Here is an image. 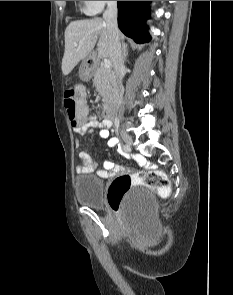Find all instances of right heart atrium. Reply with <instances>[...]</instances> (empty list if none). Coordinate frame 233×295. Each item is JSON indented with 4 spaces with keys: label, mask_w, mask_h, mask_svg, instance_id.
I'll return each mask as SVG.
<instances>
[{
    "label": "right heart atrium",
    "mask_w": 233,
    "mask_h": 295,
    "mask_svg": "<svg viewBox=\"0 0 233 295\" xmlns=\"http://www.w3.org/2000/svg\"><path fill=\"white\" fill-rule=\"evenodd\" d=\"M83 2H84V11L86 12V14L95 15L101 12L106 5L112 4L115 1H83Z\"/></svg>",
    "instance_id": "obj_1"
}]
</instances>
